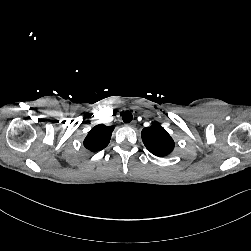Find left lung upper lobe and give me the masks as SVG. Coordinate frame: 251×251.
<instances>
[{
    "label": "left lung upper lobe",
    "instance_id": "obj_1",
    "mask_svg": "<svg viewBox=\"0 0 251 251\" xmlns=\"http://www.w3.org/2000/svg\"><path fill=\"white\" fill-rule=\"evenodd\" d=\"M142 140L146 148L156 156H166L174 149L173 139L158 123L142 130Z\"/></svg>",
    "mask_w": 251,
    "mask_h": 251
}]
</instances>
